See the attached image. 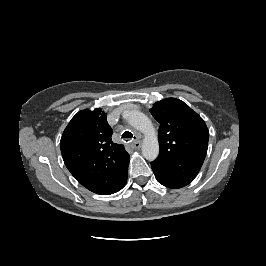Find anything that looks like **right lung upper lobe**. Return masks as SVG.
<instances>
[{"mask_svg": "<svg viewBox=\"0 0 266 266\" xmlns=\"http://www.w3.org/2000/svg\"><path fill=\"white\" fill-rule=\"evenodd\" d=\"M112 129L101 108L78 112L60 141L64 163L76 180L90 191L109 195L127 179L129 154L113 143Z\"/></svg>", "mask_w": 266, "mask_h": 266, "instance_id": "cb5924a9", "label": "right lung upper lobe"}]
</instances>
